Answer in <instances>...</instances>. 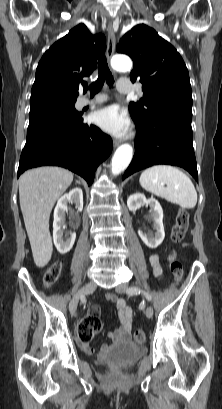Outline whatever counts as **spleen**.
<instances>
[{
  "label": "spleen",
  "mask_w": 222,
  "mask_h": 409,
  "mask_svg": "<svg viewBox=\"0 0 222 409\" xmlns=\"http://www.w3.org/2000/svg\"><path fill=\"white\" fill-rule=\"evenodd\" d=\"M139 182L146 191L182 208L192 209L197 203V192L192 181L176 167H150L142 172Z\"/></svg>",
  "instance_id": "3e777b00"
}]
</instances>
